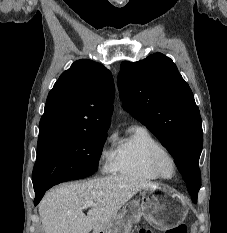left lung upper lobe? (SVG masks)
<instances>
[{"label":"left lung upper lobe","mask_w":227,"mask_h":233,"mask_svg":"<svg viewBox=\"0 0 227 233\" xmlns=\"http://www.w3.org/2000/svg\"><path fill=\"white\" fill-rule=\"evenodd\" d=\"M117 81L124 108L168 149L197 202L202 121L192 91L176 65L155 53L138 62H123Z\"/></svg>","instance_id":"obj_1"}]
</instances>
